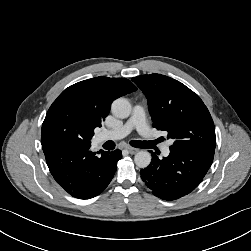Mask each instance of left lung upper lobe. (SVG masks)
Listing matches in <instances>:
<instances>
[{
    "label": "left lung upper lobe",
    "mask_w": 251,
    "mask_h": 251,
    "mask_svg": "<svg viewBox=\"0 0 251 251\" xmlns=\"http://www.w3.org/2000/svg\"><path fill=\"white\" fill-rule=\"evenodd\" d=\"M132 81L147 98L153 126L175 140L170 149L215 150V126L196 93L161 74L142 75Z\"/></svg>",
    "instance_id": "obj_1"
}]
</instances>
